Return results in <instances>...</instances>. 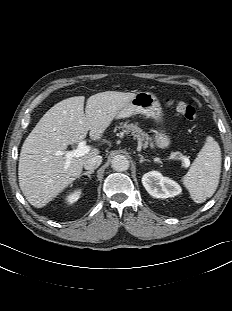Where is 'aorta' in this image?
Instances as JSON below:
<instances>
[{
	"label": "aorta",
	"mask_w": 232,
	"mask_h": 311,
	"mask_svg": "<svg viewBox=\"0 0 232 311\" xmlns=\"http://www.w3.org/2000/svg\"><path fill=\"white\" fill-rule=\"evenodd\" d=\"M129 160L124 155H116L111 161V167L117 172H123L129 169Z\"/></svg>",
	"instance_id": "1"
}]
</instances>
